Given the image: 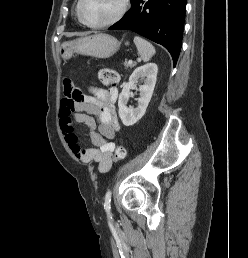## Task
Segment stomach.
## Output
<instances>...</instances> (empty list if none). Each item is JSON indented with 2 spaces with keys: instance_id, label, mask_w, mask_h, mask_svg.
Here are the masks:
<instances>
[{
  "instance_id": "stomach-1",
  "label": "stomach",
  "mask_w": 248,
  "mask_h": 258,
  "mask_svg": "<svg viewBox=\"0 0 248 258\" xmlns=\"http://www.w3.org/2000/svg\"><path fill=\"white\" fill-rule=\"evenodd\" d=\"M119 47L120 42L115 37L99 33L64 42L59 49V54L64 60L70 59L74 53L104 59L114 55Z\"/></svg>"
}]
</instances>
